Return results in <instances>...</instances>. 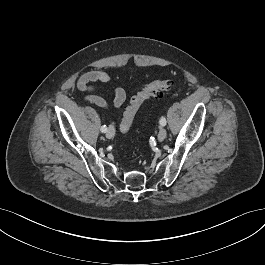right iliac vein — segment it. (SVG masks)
<instances>
[{
    "instance_id": "63e3f726",
    "label": "right iliac vein",
    "mask_w": 265,
    "mask_h": 265,
    "mask_svg": "<svg viewBox=\"0 0 265 265\" xmlns=\"http://www.w3.org/2000/svg\"><path fill=\"white\" fill-rule=\"evenodd\" d=\"M114 134H115V130H114V128L112 126H110L108 128V130L106 131V137L108 139H111V138H113Z\"/></svg>"
}]
</instances>
